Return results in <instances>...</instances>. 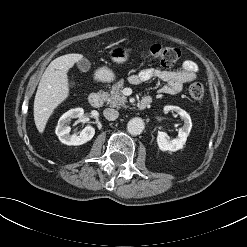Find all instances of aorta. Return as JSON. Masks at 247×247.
Masks as SVG:
<instances>
[{
	"label": "aorta",
	"mask_w": 247,
	"mask_h": 247,
	"mask_svg": "<svg viewBox=\"0 0 247 247\" xmlns=\"http://www.w3.org/2000/svg\"><path fill=\"white\" fill-rule=\"evenodd\" d=\"M144 127V121L139 117L132 118L127 123V130L131 135L140 134L144 130Z\"/></svg>",
	"instance_id": "762f6f07"
}]
</instances>
